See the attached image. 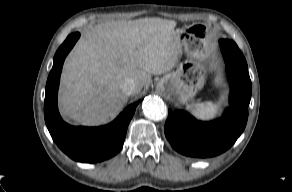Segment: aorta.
Instances as JSON below:
<instances>
[{
    "label": "aorta",
    "instance_id": "1",
    "mask_svg": "<svg viewBox=\"0 0 292 192\" xmlns=\"http://www.w3.org/2000/svg\"><path fill=\"white\" fill-rule=\"evenodd\" d=\"M144 113L155 121L162 120L166 116V108L163 101L156 96L146 97L142 103Z\"/></svg>",
    "mask_w": 292,
    "mask_h": 192
}]
</instances>
